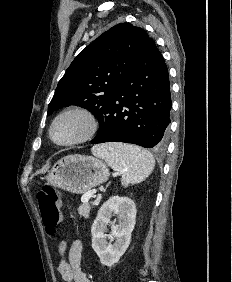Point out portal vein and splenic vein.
I'll use <instances>...</instances> for the list:
<instances>
[{"label": "portal vein and splenic vein", "instance_id": "portal-vein-and-splenic-vein-1", "mask_svg": "<svg viewBox=\"0 0 232 282\" xmlns=\"http://www.w3.org/2000/svg\"><path fill=\"white\" fill-rule=\"evenodd\" d=\"M96 193V190L93 191H89L87 193H85L82 197H81V201L83 203H87L89 201V199Z\"/></svg>", "mask_w": 232, "mask_h": 282}]
</instances>
